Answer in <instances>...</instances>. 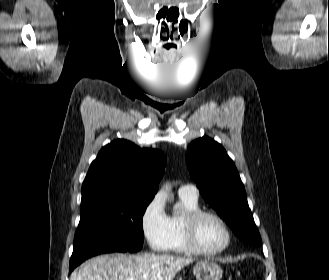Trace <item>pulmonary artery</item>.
Instances as JSON below:
<instances>
[{
	"mask_svg": "<svg viewBox=\"0 0 329 280\" xmlns=\"http://www.w3.org/2000/svg\"><path fill=\"white\" fill-rule=\"evenodd\" d=\"M179 193L188 195V196H190L194 199H198V196H199L198 188L195 185H192V184L182 185L179 188Z\"/></svg>",
	"mask_w": 329,
	"mask_h": 280,
	"instance_id": "obj_1",
	"label": "pulmonary artery"
}]
</instances>
